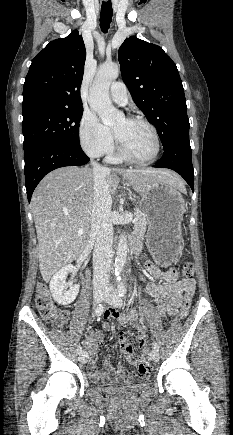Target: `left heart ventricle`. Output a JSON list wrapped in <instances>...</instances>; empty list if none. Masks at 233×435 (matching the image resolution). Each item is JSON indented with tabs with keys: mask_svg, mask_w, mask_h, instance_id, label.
<instances>
[{
	"mask_svg": "<svg viewBox=\"0 0 233 435\" xmlns=\"http://www.w3.org/2000/svg\"><path fill=\"white\" fill-rule=\"evenodd\" d=\"M112 130L119 137L129 155L138 160H147L154 153L155 143L150 129L140 122L118 120Z\"/></svg>",
	"mask_w": 233,
	"mask_h": 435,
	"instance_id": "left-heart-ventricle-1",
	"label": "left heart ventricle"
}]
</instances>
